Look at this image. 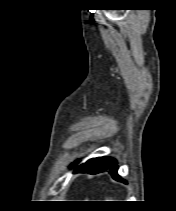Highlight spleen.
I'll return each mask as SVG.
<instances>
[{"mask_svg": "<svg viewBox=\"0 0 176 211\" xmlns=\"http://www.w3.org/2000/svg\"><path fill=\"white\" fill-rule=\"evenodd\" d=\"M105 201H114V200H112V199H106Z\"/></svg>", "mask_w": 176, "mask_h": 211, "instance_id": "spleen-1", "label": "spleen"}]
</instances>
